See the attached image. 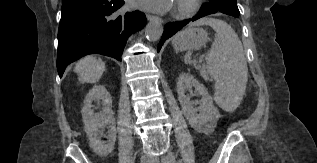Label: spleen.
I'll list each match as a JSON object with an SVG mask.
<instances>
[{"instance_id": "1", "label": "spleen", "mask_w": 317, "mask_h": 163, "mask_svg": "<svg viewBox=\"0 0 317 163\" xmlns=\"http://www.w3.org/2000/svg\"><path fill=\"white\" fill-rule=\"evenodd\" d=\"M200 25H209L216 32L206 56L208 73L216 81L215 101L224 111L233 112L243 98L248 80L242 43L231 26L222 20L203 18L190 26Z\"/></svg>"}]
</instances>
